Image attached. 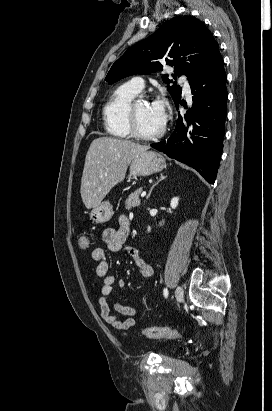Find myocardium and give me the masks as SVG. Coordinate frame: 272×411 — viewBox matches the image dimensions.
I'll list each match as a JSON object with an SVG mask.
<instances>
[{"mask_svg": "<svg viewBox=\"0 0 272 411\" xmlns=\"http://www.w3.org/2000/svg\"><path fill=\"white\" fill-rule=\"evenodd\" d=\"M146 99L143 96L135 97L127 108V125L130 132V135L136 139L144 140V141H152L161 138L166 131L165 124L155 133L152 134H145L141 132L137 126L136 121V106L139 102H145Z\"/></svg>", "mask_w": 272, "mask_h": 411, "instance_id": "myocardium-1", "label": "myocardium"}]
</instances>
